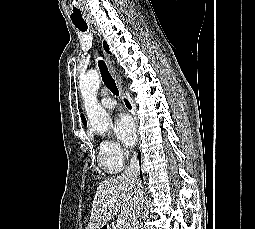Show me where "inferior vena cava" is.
Returning a JSON list of instances; mask_svg holds the SVG:
<instances>
[{"label":"inferior vena cava","mask_w":255,"mask_h":229,"mask_svg":"<svg viewBox=\"0 0 255 229\" xmlns=\"http://www.w3.org/2000/svg\"><path fill=\"white\" fill-rule=\"evenodd\" d=\"M140 174V165L137 159V155L134 152L130 165L126 168L122 174L123 178L130 181L135 186V194L130 205L128 216L125 223L124 229H137V218L142 209L143 205V192L141 190V185L138 180Z\"/></svg>","instance_id":"obj_1"}]
</instances>
